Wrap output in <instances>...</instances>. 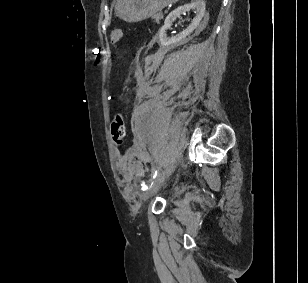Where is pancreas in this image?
I'll use <instances>...</instances> for the list:
<instances>
[{
	"mask_svg": "<svg viewBox=\"0 0 308 283\" xmlns=\"http://www.w3.org/2000/svg\"><path fill=\"white\" fill-rule=\"evenodd\" d=\"M152 19H154L157 23H159V21H160L161 19H163V14H162V13H158V14L154 15V16L152 17Z\"/></svg>",
	"mask_w": 308,
	"mask_h": 283,
	"instance_id": "obj_1",
	"label": "pancreas"
}]
</instances>
